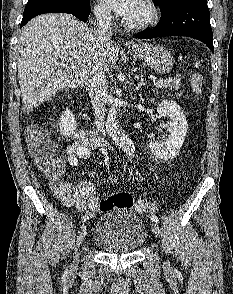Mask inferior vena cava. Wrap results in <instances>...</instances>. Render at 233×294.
I'll return each instance as SVG.
<instances>
[{
  "instance_id": "obj_1",
  "label": "inferior vena cava",
  "mask_w": 233,
  "mask_h": 294,
  "mask_svg": "<svg viewBox=\"0 0 233 294\" xmlns=\"http://www.w3.org/2000/svg\"><path fill=\"white\" fill-rule=\"evenodd\" d=\"M111 11L107 7H100L95 11L98 21L96 31L97 41L100 45L108 44L111 41ZM89 96L94 110V117L97 129L105 134V106L107 101L105 68L97 60L91 70L88 84Z\"/></svg>"
}]
</instances>
